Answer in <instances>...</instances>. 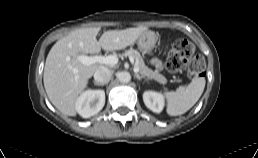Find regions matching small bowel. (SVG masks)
Returning a JSON list of instances; mask_svg holds the SVG:
<instances>
[{
  "instance_id": "small-bowel-1",
  "label": "small bowel",
  "mask_w": 258,
  "mask_h": 158,
  "mask_svg": "<svg viewBox=\"0 0 258 158\" xmlns=\"http://www.w3.org/2000/svg\"><path fill=\"white\" fill-rule=\"evenodd\" d=\"M153 63H154V65H155L156 67H158V68H160V67L162 66L161 61L158 60V59H154V60H153Z\"/></svg>"
}]
</instances>
